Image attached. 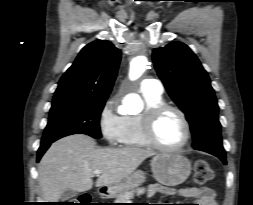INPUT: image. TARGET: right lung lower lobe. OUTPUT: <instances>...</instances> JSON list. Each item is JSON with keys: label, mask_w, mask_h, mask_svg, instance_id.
<instances>
[{"label": "right lung lower lobe", "mask_w": 253, "mask_h": 205, "mask_svg": "<svg viewBox=\"0 0 253 205\" xmlns=\"http://www.w3.org/2000/svg\"><path fill=\"white\" fill-rule=\"evenodd\" d=\"M52 142L47 143H41L40 148L38 149L37 153V162L41 159L42 155L45 153V151L49 148Z\"/></svg>", "instance_id": "obj_1"}]
</instances>
